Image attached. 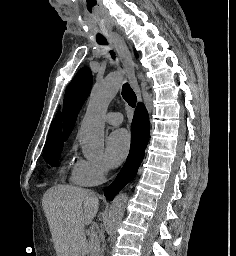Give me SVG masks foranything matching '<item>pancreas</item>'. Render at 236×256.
Masks as SVG:
<instances>
[{
    "mask_svg": "<svg viewBox=\"0 0 236 256\" xmlns=\"http://www.w3.org/2000/svg\"><path fill=\"white\" fill-rule=\"evenodd\" d=\"M99 226H92L90 230V240H89V254H98L100 250V242L98 238Z\"/></svg>",
    "mask_w": 236,
    "mask_h": 256,
    "instance_id": "cf45deb5",
    "label": "pancreas"
}]
</instances>
